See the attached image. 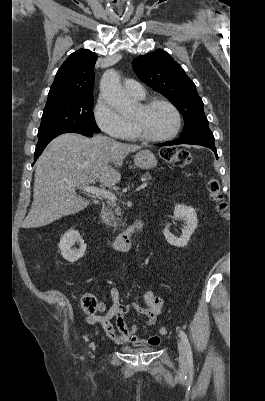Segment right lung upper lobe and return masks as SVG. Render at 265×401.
Listing matches in <instances>:
<instances>
[{
  "label": "right lung upper lobe",
  "instance_id": "cb5924a9",
  "mask_svg": "<svg viewBox=\"0 0 265 401\" xmlns=\"http://www.w3.org/2000/svg\"><path fill=\"white\" fill-rule=\"evenodd\" d=\"M96 60L97 55L86 49L72 53L57 71L46 105L92 96Z\"/></svg>",
  "mask_w": 265,
  "mask_h": 401
}]
</instances>
